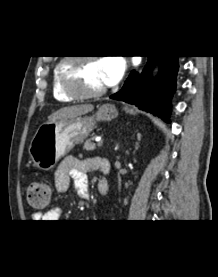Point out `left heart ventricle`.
<instances>
[{
	"instance_id": "1",
	"label": "left heart ventricle",
	"mask_w": 218,
	"mask_h": 277,
	"mask_svg": "<svg viewBox=\"0 0 218 277\" xmlns=\"http://www.w3.org/2000/svg\"><path fill=\"white\" fill-rule=\"evenodd\" d=\"M72 73L76 76L77 84L83 91H94L105 87L101 68L98 61H86L71 66Z\"/></svg>"
}]
</instances>
